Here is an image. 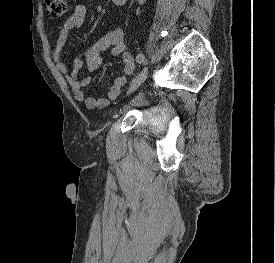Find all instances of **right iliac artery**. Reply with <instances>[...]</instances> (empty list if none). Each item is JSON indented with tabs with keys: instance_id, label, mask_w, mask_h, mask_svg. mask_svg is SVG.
Returning a JSON list of instances; mask_svg holds the SVG:
<instances>
[{
	"instance_id": "right-iliac-artery-1",
	"label": "right iliac artery",
	"mask_w": 275,
	"mask_h": 263,
	"mask_svg": "<svg viewBox=\"0 0 275 263\" xmlns=\"http://www.w3.org/2000/svg\"><path fill=\"white\" fill-rule=\"evenodd\" d=\"M144 60H145V57H144L143 54L139 53V54L136 56V61H137L138 63L141 64V63L144 62Z\"/></svg>"
}]
</instances>
